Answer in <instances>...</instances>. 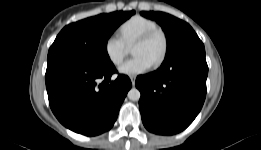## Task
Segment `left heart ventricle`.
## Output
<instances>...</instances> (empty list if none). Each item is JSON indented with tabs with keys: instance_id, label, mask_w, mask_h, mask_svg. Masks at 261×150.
<instances>
[{
	"instance_id": "obj_1",
	"label": "left heart ventricle",
	"mask_w": 261,
	"mask_h": 150,
	"mask_svg": "<svg viewBox=\"0 0 261 150\" xmlns=\"http://www.w3.org/2000/svg\"><path fill=\"white\" fill-rule=\"evenodd\" d=\"M162 44V38L158 35L147 43L134 45L132 47V54L134 56L143 55L147 59H149L153 64L162 50Z\"/></svg>"
}]
</instances>
